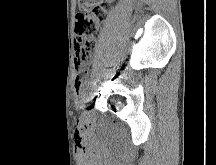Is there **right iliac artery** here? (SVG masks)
Instances as JSON below:
<instances>
[{
  "label": "right iliac artery",
  "instance_id": "right-iliac-artery-1",
  "mask_svg": "<svg viewBox=\"0 0 216 165\" xmlns=\"http://www.w3.org/2000/svg\"><path fill=\"white\" fill-rule=\"evenodd\" d=\"M93 76L91 75L89 78H88V80H87V82H86V92L89 94L91 91V85H92V81H93ZM90 99V96L89 95H86V96H82V103L84 104V103H86L87 102V100H89Z\"/></svg>",
  "mask_w": 216,
  "mask_h": 165
}]
</instances>
